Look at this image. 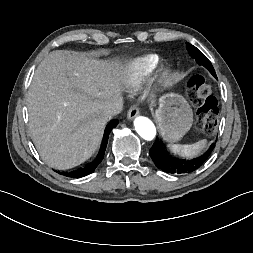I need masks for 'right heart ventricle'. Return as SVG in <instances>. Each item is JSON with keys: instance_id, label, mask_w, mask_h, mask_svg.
Instances as JSON below:
<instances>
[{"instance_id": "obj_1", "label": "right heart ventricle", "mask_w": 253, "mask_h": 253, "mask_svg": "<svg viewBox=\"0 0 253 253\" xmlns=\"http://www.w3.org/2000/svg\"><path fill=\"white\" fill-rule=\"evenodd\" d=\"M159 56L148 54L130 61L124 68L123 82L132 90H137L156 68Z\"/></svg>"}]
</instances>
